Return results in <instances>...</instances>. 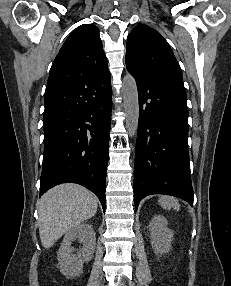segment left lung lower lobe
Wrapping results in <instances>:
<instances>
[{
    "instance_id": "0a47b994",
    "label": "left lung lower lobe",
    "mask_w": 231,
    "mask_h": 286,
    "mask_svg": "<svg viewBox=\"0 0 231 286\" xmlns=\"http://www.w3.org/2000/svg\"><path fill=\"white\" fill-rule=\"evenodd\" d=\"M129 72L136 80L140 110L134 163L135 208L151 194L176 196L192 205L185 88Z\"/></svg>"
}]
</instances>
